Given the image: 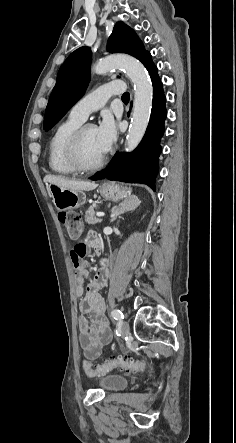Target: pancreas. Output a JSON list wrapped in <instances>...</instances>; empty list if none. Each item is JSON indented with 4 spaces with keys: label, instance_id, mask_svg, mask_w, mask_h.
Returning <instances> with one entry per match:
<instances>
[{
    "label": "pancreas",
    "instance_id": "1",
    "mask_svg": "<svg viewBox=\"0 0 236 443\" xmlns=\"http://www.w3.org/2000/svg\"><path fill=\"white\" fill-rule=\"evenodd\" d=\"M85 221L88 224H97L100 223L102 220L95 216L94 207L90 206L85 213Z\"/></svg>",
    "mask_w": 236,
    "mask_h": 443
}]
</instances>
